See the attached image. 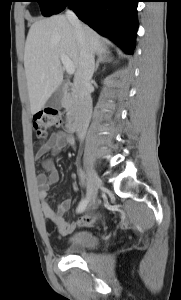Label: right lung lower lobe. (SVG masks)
Listing matches in <instances>:
<instances>
[{"mask_svg": "<svg viewBox=\"0 0 181 300\" xmlns=\"http://www.w3.org/2000/svg\"><path fill=\"white\" fill-rule=\"evenodd\" d=\"M139 0H67L58 12L67 5L78 18L110 38L127 54H132L138 28L136 8Z\"/></svg>", "mask_w": 181, "mask_h": 300, "instance_id": "98d812e1", "label": "right lung lower lobe"}]
</instances>
